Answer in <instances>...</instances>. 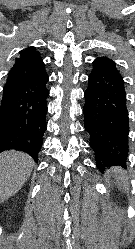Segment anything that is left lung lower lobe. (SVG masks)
<instances>
[{
	"label": "left lung lower lobe",
	"mask_w": 135,
	"mask_h": 249,
	"mask_svg": "<svg viewBox=\"0 0 135 249\" xmlns=\"http://www.w3.org/2000/svg\"><path fill=\"white\" fill-rule=\"evenodd\" d=\"M84 127L97 167L122 165L128 157L129 117L120 73L93 62L85 91Z\"/></svg>",
	"instance_id": "1"
}]
</instances>
